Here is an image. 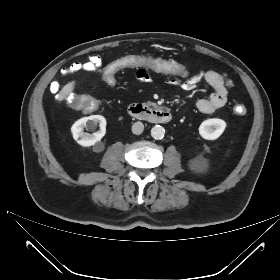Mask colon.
<instances>
[{
  "label": "colon",
  "mask_w": 280,
  "mask_h": 280,
  "mask_svg": "<svg viewBox=\"0 0 280 280\" xmlns=\"http://www.w3.org/2000/svg\"><path fill=\"white\" fill-rule=\"evenodd\" d=\"M137 68L151 69L157 73H161L165 77L182 82L187 81L194 74L193 69L185 66L180 60L173 61L147 54H127L123 58L114 59L113 62L105 66L102 76L106 83L112 84L116 81L117 76L126 69L132 70ZM67 71L69 73L77 72L78 67L72 65ZM51 89L54 91L55 97L62 100L63 104L73 111H83L89 115H93L101 111L104 107L103 101L99 98L95 99L91 94L78 96L79 89L74 84L67 86L52 84ZM234 112L236 115L242 116L246 113V108L244 105L238 104L234 107Z\"/></svg>",
  "instance_id": "5ec220e1"
}]
</instances>
